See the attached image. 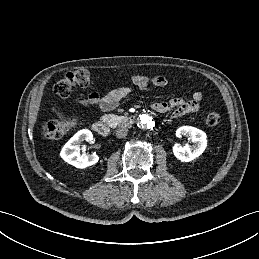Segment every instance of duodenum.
<instances>
[{
	"label": "duodenum",
	"instance_id": "1",
	"mask_svg": "<svg viewBox=\"0 0 259 259\" xmlns=\"http://www.w3.org/2000/svg\"><path fill=\"white\" fill-rule=\"evenodd\" d=\"M135 120H136V118L131 117L126 120V123L131 124V123L135 122ZM92 128H93L94 132L97 133L99 136L106 137L109 134L108 125L101 120L95 121L92 124Z\"/></svg>",
	"mask_w": 259,
	"mask_h": 259
}]
</instances>
